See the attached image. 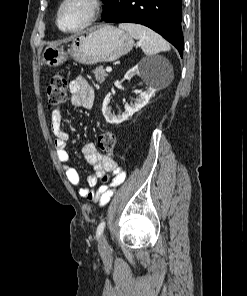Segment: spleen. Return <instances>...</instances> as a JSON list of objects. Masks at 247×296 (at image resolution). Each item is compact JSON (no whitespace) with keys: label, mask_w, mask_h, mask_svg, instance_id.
<instances>
[{"label":"spleen","mask_w":247,"mask_h":296,"mask_svg":"<svg viewBox=\"0 0 247 296\" xmlns=\"http://www.w3.org/2000/svg\"><path fill=\"white\" fill-rule=\"evenodd\" d=\"M119 28L128 32L133 38L142 41V50L147 56H153L161 51L170 50V45L158 33L140 24L122 23Z\"/></svg>","instance_id":"1"}]
</instances>
